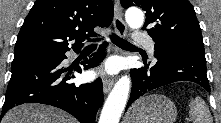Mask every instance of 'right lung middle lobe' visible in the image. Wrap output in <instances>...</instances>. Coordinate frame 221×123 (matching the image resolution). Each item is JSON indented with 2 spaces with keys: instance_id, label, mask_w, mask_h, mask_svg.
I'll list each match as a JSON object with an SVG mask.
<instances>
[{
  "instance_id": "1",
  "label": "right lung middle lobe",
  "mask_w": 221,
  "mask_h": 123,
  "mask_svg": "<svg viewBox=\"0 0 221 123\" xmlns=\"http://www.w3.org/2000/svg\"><path fill=\"white\" fill-rule=\"evenodd\" d=\"M63 54L59 53H39V54H26V55H15L12 67L27 62L40 61V60H57L60 59Z\"/></svg>"
}]
</instances>
